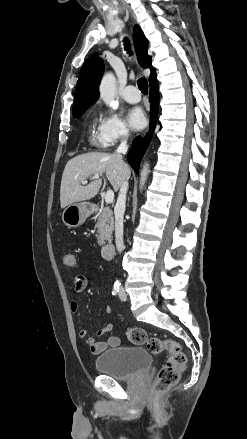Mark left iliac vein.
<instances>
[{
	"label": "left iliac vein",
	"instance_id": "left-iliac-vein-1",
	"mask_svg": "<svg viewBox=\"0 0 247 439\" xmlns=\"http://www.w3.org/2000/svg\"><path fill=\"white\" fill-rule=\"evenodd\" d=\"M119 298H120L122 301H125V300L127 299V294H126L124 288H121V291H120V293H119Z\"/></svg>",
	"mask_w": 247,
	"mask_h": 439
}]
</instances>
